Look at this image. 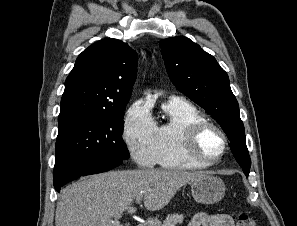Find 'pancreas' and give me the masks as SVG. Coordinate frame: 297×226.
<instances>
[{
  "mask_svg": "<svg viewBox=\"0 0 297 226\" xmlns=\"http://www.w3.org/2000/svg\"><path fill=\"white\" fill-rule=\"evenodd\" d=\"M184 216L182 214H169L163 221L162 226H177L183 222Z\"/></svg>",
  "mask_w": 297,
  "mask_h": 226,
  "instance_id": "1",
  "label": "pancreas"
}]
</instances>
